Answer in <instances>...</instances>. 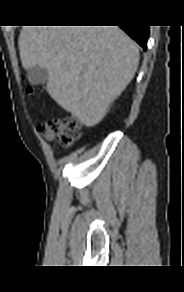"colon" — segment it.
Listing matches in <instances>:
<instances>
[{
    "label": "colon",
    "mask_w": 184,
    "mask_h": 292,
    "mask_svg": "<svg viewBox=\"0 0 184 292\" xmlns=\"http://www.w3.org/2000/svg\"><path fill=\"white\" fill-rule=\"evenodd\" d=\"M27 91L31 93L32 88ZM40 134L47 140H57L63 147H68L81 136V123L74 116H66L49 120L38 128Z\"/></svg>",
    "instance_id": "obj_1"
}]
</instances>
